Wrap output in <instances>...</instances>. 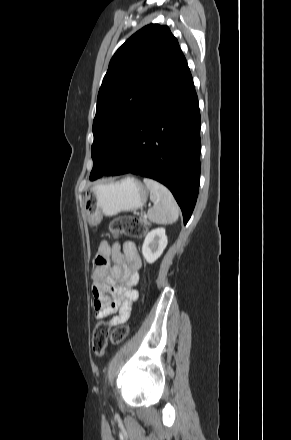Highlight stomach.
Instances as JSON below:
<instances>
[{"label":"stomach","mask_w":291,"mask_h":440,"mask_svg":"<svg viewBox=\"0 0 291 440\" xmlns=\"http://www.w3.org/2000/svg\"><path fill=\"white\" fill-rule=\"evenodd\" d=\"M148 189L134 177L96 184L85 192L84 211L90 225H97L103 215L115 216L142 208Z\"/></svg>","instance_id":"0dacf381"}]
</instances>
